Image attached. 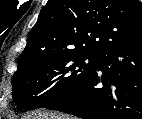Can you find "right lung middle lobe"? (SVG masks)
<instances>
[{
    "label": "right lung middle lobe",
    "mask_w": 142,
    "mask_h": 119,
    "mask_svg": "<svg viewBox=\"0 0 142 119\" xmlns=\"http://www.w3.org/2000/svg\"><path fill=\"white\" fill-rule=\"evenodd\" d=\"M100 55L70 50L18 69L12 77L13 101L19 109L48 108L74 91L95 71Z\"/></svg>",
    "instance_id": "1"
}]
</instances>
